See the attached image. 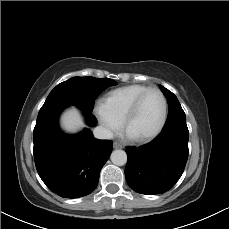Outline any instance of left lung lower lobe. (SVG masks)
Wrapping results in <instances>:
<instances>
[{"mask_svg":"<svg viewBox=\"0 0 229 229\" xmlns=\"http://www.w3.org/2000/svg\"><path fill=\"white\" fill-rule=\"evenodd\" d=\"M186 123L163 129L151 143L127 147L125 177L136 192L155 195L170 190L181 177L188 159Z\"/></svg>","mask_w":229,"mask_h":229,"instance_id":"left-lung-lower-lobe-1","label":"left lung lower lobe"}]
</instances>
